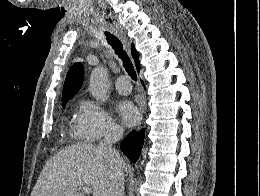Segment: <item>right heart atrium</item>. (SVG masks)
<instances>
[{"label":"right heart atrium","mask_w":260,"mask_h":196,"mask_svg":"<svg viewBox=\"0 0 260 196\" xmlns=\"http://www.w3.org/2000/svg\"><path fill=\"white\" fill-rule=\"evenodd\" d=\"M119 128L116 120L100 103L92 99H86L81 103L74 129L88 134L90 140H98L100 132Z\"/></svg>","instance_id":"obj_1"}]
</instances>
